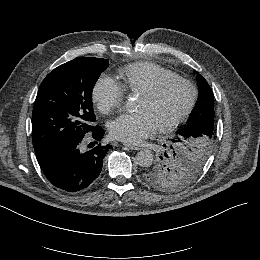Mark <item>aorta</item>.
<instances>
[{
	"label": "aorta",
	"instance_id": "obj_1",
	"mask_svg": "<svg viewBox=\"0 0 260 260\" xmlns=\"http://www.w3.org/2000/svg\"><path fill=\"white\" fill-rule=\"evenodd\" d=\"M128 107H132L133 103L129 101L127 103ZM154 157L150 150L143 149L140 150L136 155V162L141 167H148L153 163Z\"/></svg>",
	"mask_w": 260,
	"mask_h": 260
}]
</instances>
